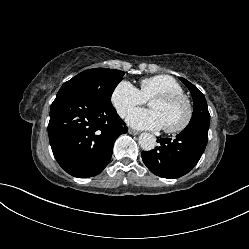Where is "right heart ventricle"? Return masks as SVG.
Listing matches in <instances>:
<instances>
[{
	"mask_svg": "<svg viewBox=\"0 0 249 249\" xmlns=\"http://www.w3.org/2000/svg\"><path fill=\"white\" fill-rule=\"evenodd\" d=\"M139 92L144 100H150L163 93H183V88L172 76L160 74L142 79Z\"/></svg>",
	"mask_w": 249,
	"mask_h": 249,
	"instance_id": "obj_1",
	"label": "right heart ventricle"
}]
</instances>
